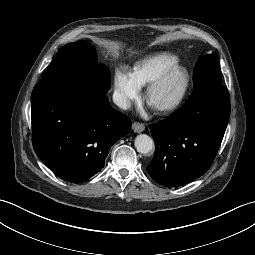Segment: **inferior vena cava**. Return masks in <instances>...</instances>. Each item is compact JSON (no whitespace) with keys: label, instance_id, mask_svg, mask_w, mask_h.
Listing matches in <instances>:
<instances>
[{"label":"inferior vena cava","instance_id":"602c4592","mask_svg":"<svg viewBox=\"0 0 255 255\" xmlns=\"http://www.w3.org/2000/svg\"><path fill=\"white\" fill-rule=\"evenodd\" d=\"M113 102L123 110L129 109L131 106L130 100L123 93H120L119 91H115L113 93Z\"/></svg>","mask_w":255,"mask_h":255}]
</instances>
